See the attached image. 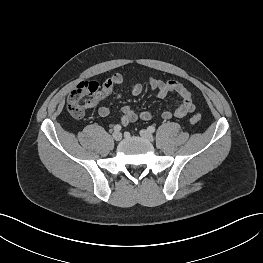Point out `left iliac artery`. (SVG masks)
Instances as JSON below:
<instances>
[{
    "instance_id": "obj_1",
    "label": "left iliac artery",
    "mask_w": 263,
    "mask_h": 263,
    "mask_svg": "<svg viewBox=\"0 0 263 263\" xmlns=\"http://www.w3.org/2000/svg\"><path fill=\"white\" fill-rule=\"evenodd\" d=\"M148 131H150L151 133L155 132V127L153 125L149 126Z\"/></svg>"
}]
</instances>
